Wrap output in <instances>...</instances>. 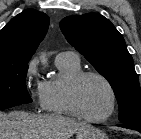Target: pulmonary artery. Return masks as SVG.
I'll return each mask as SVG.
<instances>
[{
  "label": "pulmonary artery",
  "mask_w": 141,
  "mask_h": 139,
  "mask_svg": "<svg viewBox=\"0 0 141 139\" xmlns=\"http://www.w3.org/2000/svg\"><path fill=\"white\" fill-rule=\"evenodd\" d=\"M64 60L77 61L79 60V58L77 53L73 51H64L57 54L56 61H64Z\"/></svg>",
  "instance_id": "1"
}]
</instances>
